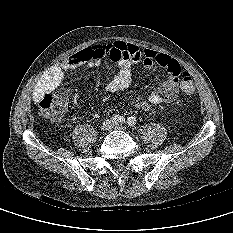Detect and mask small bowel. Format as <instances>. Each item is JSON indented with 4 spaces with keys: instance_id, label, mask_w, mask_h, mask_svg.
Returning a JSON list of instances; mask_svg holds the SVG:
<instances>
[{
    "instance_id": "1",
    "label": "small bowel",
    "mask_w": 233,
    "mask_h": 233,
    "mask_svg": "<svg viewBox=\"0 0 233 233\" xmlns=\"http://www.w3.org/2000/svg\"><path fill=\"white\" fill-rule=\"evenodd\" d=\"M104 58H109L119 66V71L112 75L107 84L108 91L119 93L131 83V66L143 63L146 68L160 66L166 71V79L159 88L138 102L136 108L149 110L152 105L173 102L179 93V63L170 56L151 49L140 50L137 46L121 41L110 44H95L84 48L61 63L53 66L35 89L34 98L38 100L44 93L55 90L63 81L65 72L80 66H98Z\"/></svg>"
}]
</instances>
